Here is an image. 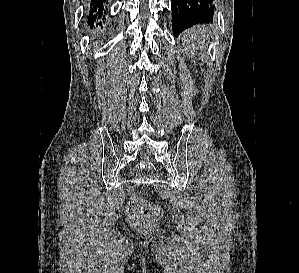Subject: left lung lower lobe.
Returning <instances> with one entry per match:
<instances>
[{
	"instance_id": "0a47b994",
	"label": "left lung lower lobe",
	"mask_w": 299,
	"mask_h": 273,
	"mask_svg": "<svg viewBox=\"0 0 299 273\" xmlns=\"http://www.w3.org/2000/svg\"><path fill=\"white\" fill-rule=\"evenodd\" d=\"M213 0H172V29L177 37L194 24L212 22Z\"/></svg>"
}]
</instances>
